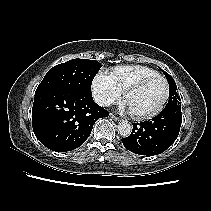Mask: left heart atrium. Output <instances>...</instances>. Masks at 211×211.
Masks as SVG:
<instances>
[{"mask_svg":"<svg viewBox=\"0 0 211 211\" xmlns=\"http://www.w3.org/2000/svg\"><path fill=\"white\" fill-rule=\"evenodd\" d=\"M123 107H127V108L129 109V107H128V105H127L126 103L124 104V106H123ZM129 110H130V109H129Z\"/></svg>","mask_w":211,"mask_h":211,"instance_id":"1","label":"left heart atrium"}]
</instances>
